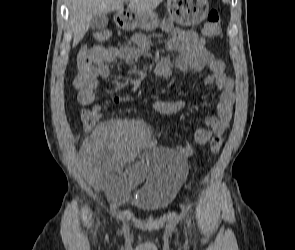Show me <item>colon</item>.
Wrapping results in <instances>:
<instances>
[{
    "mask_svg": "<svg viewBox=\"0 0 295 250\" xmlns=\"http://www.w3.org/2000/svg\"><path fill=\"white\" fill-rule=\"evenodd\" d=\"M222 27V18L218 11L211 10L203 25L202 32L206 37H216ZM94 38L97 41L103 42L110 38V32L108 30H98L94 33ZM90 47H83L77 55V63L88 62ZM100 117V111L95 107L82 109L80 112V121L84 129L91 130L94 128ZM222 142L219 140H213L210 143V149L213 153L219 152Z\"/></svg>",
    "mask_w": 295,
    "mask_h": 250,
    "instance_id": "colon-1",
    "label": "colon"
}]
</instances>
